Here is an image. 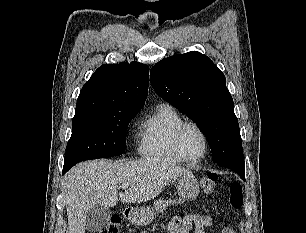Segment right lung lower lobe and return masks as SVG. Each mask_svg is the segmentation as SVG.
Returning <instances> with one entry per match:
<instances>
[{"label":"right lung lower lobe","mask_w":306,"mask_h":233,"mask_svg":"<svg viewBox=\"0 0 306 233\" xmlns=\"http://www.w3.org/2000/svg\"><path fill=\"white\" fill-rule=\"evenodd\" d=\"M69 169H70L69 167L64 166V167H63V174H64L66 171H68Z\"/></svg>","instance_id":"right-lung-lower-lobe-1"}]
</instances>
